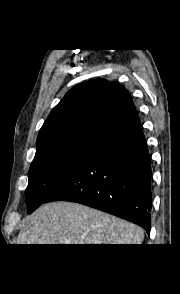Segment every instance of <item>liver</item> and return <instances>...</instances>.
Masks as SVG:
<instances>
[{
	"label": "liver",
	"mask_w": 180,
	"mask_h": 294,
	"mask_svg": "<svg viewBox=\"0 0 180 294\" xmlns=\"http://www.w3.org/2000/svg\"><path fill=\"white\" fill-rule=\"evenodd\" d=\"M139 226L71 202H52L29 217L19 244H141Z\"/></svg>",
	"instance_id": "obj_1"
}]
</instances>
